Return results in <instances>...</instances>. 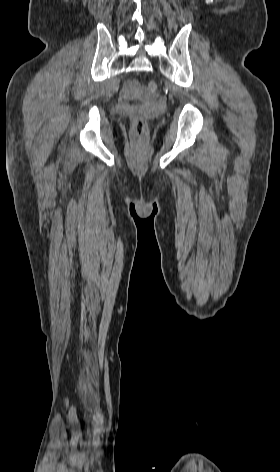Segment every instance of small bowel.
Segmentation results:
<instances>
[{"instance_id":"c3829d8e","label":"small bowel","mask_w":280,"mask_h":472,"mask_svg":"<svg viewBox=\"0 0 280 472\" xmlns=\"http://www.w3.org/2000/svg\"><path fill=\"white\" fill-rule=\"evenodd\" d=\"M139 89L140 86L136 81H129L124 87V92L129 95L137 92Z\"/></svg>"}]
</instances>
